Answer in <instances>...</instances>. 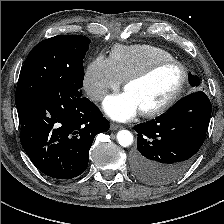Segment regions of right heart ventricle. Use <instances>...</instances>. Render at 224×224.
Masks as SVG:
<instances>
[{
	"label": "right heart ventricle",
	"instance_id": "e07e8e85",
	"mask_svg": "<svg viewBox=\"0 0 224 224\" xmlns=\"http://www.w3.org/2000/svg\"><path fill=\"white\" fill-rule=\"evenodd\" d=\"M172 58L167 50L148 44L117 45L110 54L112 66L122 81L157 60Z\"/></svg>",
	"mask_w": 224,
	"mask_h": 224
}]
</instances>
